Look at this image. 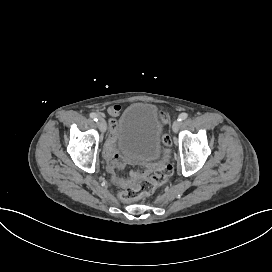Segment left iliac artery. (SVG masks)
<instances>
[{"instance_id":"44dca946","label":"left iliac artery","mask_w":272,"mask_h":272,"mask_svg":"<svg viewBox=\"0 0 272 272\" xmlns=\"http://www.w3.org/2000/svg\"><path fill=\"white\" fill-rule=\"evenodd\" d=\"M188 117V114L187 113H181L178 117V121H183L185 120L186 118Z\"/></svg>"}]
</instances>
